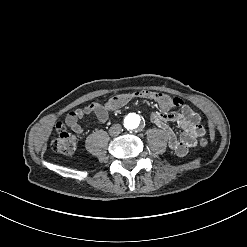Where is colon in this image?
Here are the masks:
<instances>
[{"instance_id":"1","label":"colon","mask_w":247,"mask_h":247,"mask_svg":"<svg viewBox=\"0 0 247 247\" xmlns=\"http://www.w3.org/2000/svg\"><path fill=\"white\" fill-rule=\"evenodd\" d=\"M135 96H146L148 101H160L159 107L170 109L172 103L168 92H158L153 88H142L141 92H116L112 100L109 101L110 109H122L128 101H134ZM201 148L205 151L209 148V142L206 138L200 139ZM77 139L69 132V127L65 124H58L55 128V136L50 141V147L53 152L62 155H71L76 148Z\"/></svg>"}]
</instances>
